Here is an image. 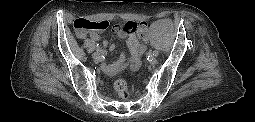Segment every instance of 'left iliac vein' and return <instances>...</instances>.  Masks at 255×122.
Listing matches in <instances>:
<instances>
[{"instance_id": "4c4485c4", "label": "left iliac vein", "mask_w": 255, "mask_h": 122, "mask_svg": "<svg viewBox=\"0 0 255 122\" xmlns=\"http://www.w3.org/2000/svg\"><path fill=\"white\" fill-rule=\"evenodd\" d=\"M149 62H150L151 65H156L158 63V60H157L156 57H152Z\"/></svg>"}]
</instances>
